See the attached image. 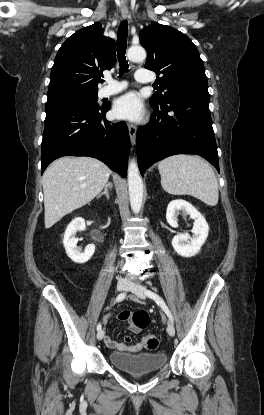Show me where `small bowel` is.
Wrapping results in <instances>:
<instances>
[{"label":"small bowel","instance_id":"obj_1","mask_svg":"<svg viewBox=\"0 0 264 415\" xmlns=\"http://www.w3.org/2000/svg\"><path fill=\"white\" fill-rule=\"evenodd\" d=\"M130 300L135 302V303H142V301L136 297V296H131ZM113 318L118 319L119 321L125 322L128 324V329L133 332V333H138L139 332V328L136 327L131 320V314L128 311H121L116 315L113 314H107L103 317V321L105 324H107L110 320H112ZM104 342L105 344L109 347V348H113V349H117L119 351H127V352H140L143 350V345L142 343H136V344H131V337L129 335H125L123 337V341L119 342L114 340L111 336H109L108 334H104Z\"/></svg>","mask_w":264,"mask_h":415}]
</instances>
